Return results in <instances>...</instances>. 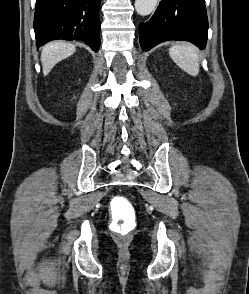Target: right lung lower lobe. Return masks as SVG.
Returning a JSON list of instances; mask_svg holds the SVG:
<instances>
[{
    "label": "right lung lower lobe",
    "mask_w": 249,
    "mask_h": 294,
    "mask_svg": "<svg viewBox=\"0 0 249 294\" xmlns=\"http://www.w3.org/2000/svg\"><path fill=\"white\" fill-rule=\"evenodd\" d=\"M100 2L101 0H37L34 17L37 46L55 39L82 40L98 52Z\"/></svg>",
    "instance_id": "98d812e1"
}]
</instances>
